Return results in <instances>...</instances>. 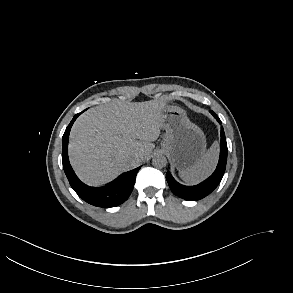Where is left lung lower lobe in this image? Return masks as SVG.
Masks as SVG:
<instances>
[{
  "label": "left lung lower lobe",
  "mask_w": 293,
  "mask_h": 293,
  "mask_svg": "<svg viewBox=\"0 0 293 293\" xmlns=\"http://www.w3.org/2000/svg\"><path fill=\"white\" fill-rule=\"evenodd\" d=\"M213 116L221 124V121L217 115L215 114ZM227 153L228 149L225 133L223 127L221 126L220 157L214 173L208 179L196 186H184L179 184L168 171L166 173V179L172 192L182 199L192 201L202 199L209 195L219 185L223 177L226 168Z\"/></svg>",
  "instance_id": "0a47b994"
}]
</instances>
